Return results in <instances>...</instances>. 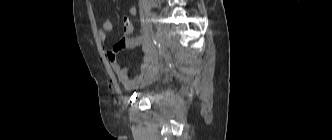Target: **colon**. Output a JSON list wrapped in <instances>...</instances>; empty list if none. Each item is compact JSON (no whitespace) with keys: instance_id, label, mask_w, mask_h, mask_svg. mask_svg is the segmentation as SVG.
<instances>
[{"instance_id":"5ec220e1","label":"colon","mask_w":332,"mask_h":140,"mask_svg":"<svg viewBox=\"0 0 332 140\" xmlns=\"http://www.w3.org/2000/svg\"><path fill=\"white\" fill-rule=\"evenodd\" d=\"M122 25H123V33L125 36H132L133 32H134V26L133 23L131 22V20L127 17L123 18L122 21Z\"/></svg>"}]
</instances>
